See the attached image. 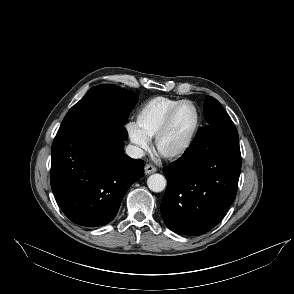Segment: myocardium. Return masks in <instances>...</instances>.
I'll return each mask as SVG.
<instances>
[{
    "label": "myocardium",
    "instance_id": "1",
    "mask_svg": "<svg viewBox=\"0 0 294 294\" xmlns=\"http://www.w3.org/2000/svg\"><path fill=\"white\" fill-rule=\"evenodd\" d=\"M184 104H191L194 107V109L196 111L195 126H194L188 140L185 142V144L182 147H180L179 149H177L175 151H172L169 153H164L160 150V143H161L163 137L165 136V134L167 133V131L169 130L175 114L177 113L179 108L181 106H183ZM201 122H202L201 112H200L198 105L194 101L188 100V99H183V100L179 101L167 113V115L165 116L163 122L161 123L159 129L157 130V132L154 136V151H155L156 155L162 159H165V160H176V159H179L182 156H184L189 151V149L192 147V145L198 135V132L200 130Z\"/></svg>",
    "mask_w": 294,
    "mask_h": 294
}]
</instances>
